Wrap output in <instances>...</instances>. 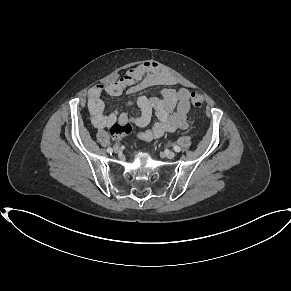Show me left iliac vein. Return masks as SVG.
Here are the masks:
<instances>
[{
	"instance_id": "obj_1",
	"label": "left iliac vein",
	"mask_w": 291,
	"mask_h": 291,
	"mask_svg": "<svg viewBox=\"0 0 291 291\" xmlns=\"http://www.w3.org/2000/svg\"><path fill=\"white\" fill-rule=\"evenodd\" d=\"M165 156L169 159H173L175 157V153L167 150V151H165Z\"/></svg>"
}]
</instances>
